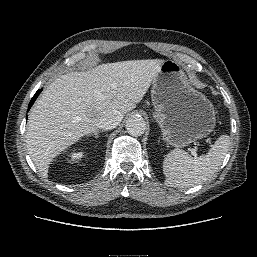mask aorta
I'll return each mask as SVG.
<instances>
[{"mask_svg":"<svg viewBox=\"0 0 257 257\" xmlns=\"http://www.w3.org/2000/svg\"><path fill=\"white\" fill-rule=\"evenodd\" d=\"M126 129L130 135L140 136L146 129L145 120L139 115H133L126 121Z\"/></svg>","mask_w":257,"mask_h":257,"instance_id":"obj_1","label":"aorta"}]
</instances>
